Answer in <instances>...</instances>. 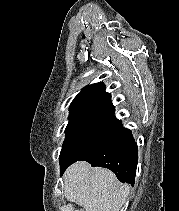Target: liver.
<instances>
[{"label": "liver", "mask_w": 179, "mask_h": 211, "mask_svg": "<svg viewBox=\"0 0 179 211\" xmlns=\"http://www.w3.org/2000/svg\"><path fill=\"white\" fill-rule=\"evenodd\" d=\"M130 186L120 184L113 172L91 168L84 161L72 164L64 174V195L85 211H120Z\"/></svg>", "instance_id": "1"}]
</instances>
